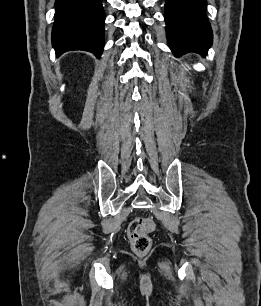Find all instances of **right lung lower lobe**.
Returning <instances> with one entry per match:
<instances>
[{
    "mask_svg": "<svg viewBox=\"0 0 261 306\" xmlns=\"http://www.w3.org/2000/svg\"><path fill=\"white\" fill-rule=\"evenodd\" d=\"M52 45L56 55L85 50L100 57L104 47L105 13L101 0H56Z\"/></svg>",
    "mask_w": 261,
    "mask_h": 306,
    "instance_id": "obj_1",
    "label": "right lung lower lobe"
}]
</instances>
